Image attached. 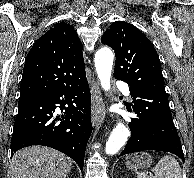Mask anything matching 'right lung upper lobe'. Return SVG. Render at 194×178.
Listing matches in <instances>:
<instances>
[{
    "mask_svg": "<svg viewBox=\"0 0 194 178\" xmlns=\"http://www.w3.org/2000/svg\"><path fill=\"white\" fill-rule=\"evenodd\" d=\"M82 49L70 24L60 22L42 35L26 57L19 99L73 86L84 80Z\"/></svg>",
    "mask_w": 194,
    "mask_h": 178,
    "instance_id": "1",
    "label": "right lung upper lobe"
}]
</instances>
